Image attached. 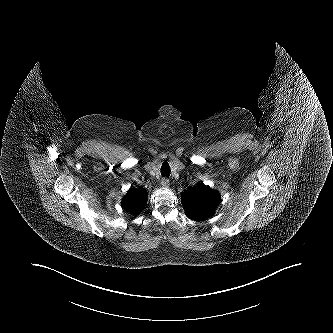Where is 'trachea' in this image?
<instances>
[{"label": "trachea", "instance_id": "3493384b", "mask_svg": "<svg viewBox=\"0 0 333 333\" xmlns=\"http://www.w3.org/2000/svg\"><path fill=\"white\" fill-rule=\"evenodd\" d=\"M161 174H162V176H166V177H169V175H170V170H161Z\"/></svg>", "mask_w": 333, "mask_h": 333}]
</instances>
